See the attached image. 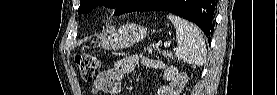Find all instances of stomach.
Wrapping results in <instances>:
<instances>
[{"label": "stomach", "instance_id": "stomach-1", "mask_svg": "<svg viewBox=\"0 0 277 95\" xmlns=\"http://www.w3.org/2000/svg\"><path fill=\"white\" fill-rule=\"evenodd\" d=\"M148 30L134 23L121 26L101 40V46L109 50H122L144 40Z\"/></svg>", "mask_w": 277, "mask_h": 95}]
</instances>
